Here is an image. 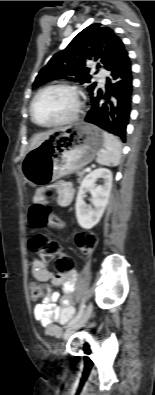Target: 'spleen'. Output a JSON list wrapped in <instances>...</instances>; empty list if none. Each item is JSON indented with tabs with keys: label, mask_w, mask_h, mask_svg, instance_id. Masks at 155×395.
Returning <instances> with one entry per match:
<instances>
[{
	"label": "spleen",
	"mask_w": 155,
	"mask_h": 395,
	"mask_svg": "<svg viewBox=\"0 0 155 395\" xmlns=\"http://www.w3.org/2000/svg\"><path fill=\"white\" fill-rule=\"evenodd\" d=\"M103 148L97 154V163L105 166H117L121 159V142L119 139L108 133L103 132Z\"/></svg>",
	"instance_id": "3e777b00"
}]
</instances>
